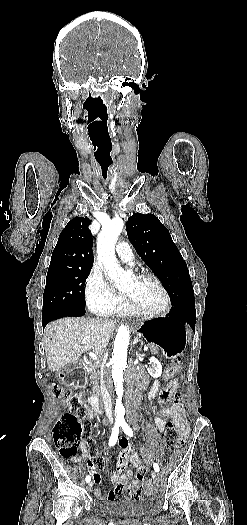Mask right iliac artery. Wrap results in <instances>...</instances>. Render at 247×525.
<instances>
[{"label": "right iliac artery", "instance_id": "1", "mask_svg": "<svg viewBox=\"0 0 247 525\" xmlns=\"http://www.w3.org/2000/svg\"><path fill=\"white\" fill-rule=\"evenodd\" d=\"M119 426L120 424H115L114 428L112 429V434L109 439V446H113L116 444L118 440ZM85 480L88 483L91 481V477L88 475L86 476Z\"/></svg>", "mask_w": 247, "mask_h": 525}]
</instances>
